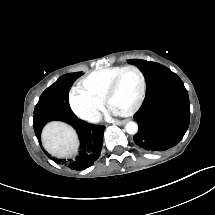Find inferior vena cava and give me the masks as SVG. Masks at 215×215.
I'll use <instances>...</instances> for the list:
<instances>
[{"mask_svg": "<svg viewBox=\"0 0 215 215\" xmlns=\"http://www.w3.org/2000/svg\"><path fill=\"white\" fill-rule=\"evenodd\" d=\"M82 118L91 123H98L101 121L102 116L99 111H88L83 113Z\"/></svg>", "mask_w": 215, "mask_h": 215, "instance_id": "1", "label": "inferior vena cava"}]
</instances>
